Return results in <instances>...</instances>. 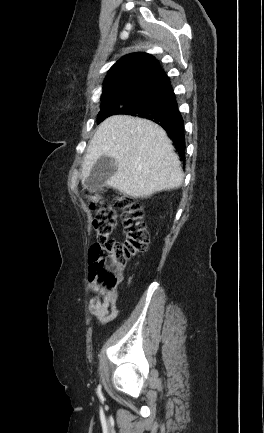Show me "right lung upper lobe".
Returning <instances> with one entry per match:
<instances>
[{
	"label": "right lung upper lobe",
	"instance_id": "obj_1",
	"mask_svg": "<svg viewBox=\"0 0 264 433\" xmlns=\"http://www.w3.org/2000/svg\"><path fill=\"white\" fill-rule=\"evenodd\" d=\"M159 69L158 60L150 54L133 53L124 56L108 71L102 98L129 88H141Z\"/></svg>",
	"mask_w": 264,
	"mask_h": 433
}]
</instances>
